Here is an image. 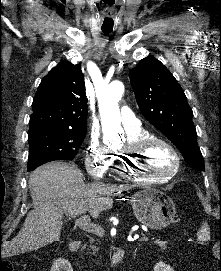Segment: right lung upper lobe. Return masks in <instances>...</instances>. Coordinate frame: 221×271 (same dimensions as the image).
<instances>
[{"label": "right lung upper lobe", "instance_id": "right-lung-upper-lobe-1", "mask_svg": "<svg viewBox=\"0 0 221 271\" xmlns=\"http://www.w3.org/2000/svg\"><path fill=\"white\" fill-rule=\"evenodd\" d=\"M32 107L29 130L86 131L87 99L81 68L60 62L42 79Z\"/></svg>", "mask_w": 221, "mask_h": 271}]
</instances>
